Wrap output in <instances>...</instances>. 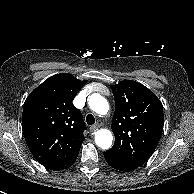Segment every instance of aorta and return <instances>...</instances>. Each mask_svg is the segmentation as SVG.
I'll list each match as a JSON object with an SVG mask.
<instances>
[{
    "label": "aorta",
    "instance_id": "aorta-1",
    "mask_svg": "<svg viewBox=\"0 0 194 194\" xmlns=\"http://www.w3.org/2000/svg\"><path fill=\"white\" fill-rule=\"evenodd\" d=\"M90 108L99 115L107 114L109 104L100 94H93L89 98ZM113 141L112 133L107 129H100L95 133V142L101 149L107 150L111 147Z\"/></svg>",
    "mask_w": 194,
    "mask_h": 194
}]
</instances>
